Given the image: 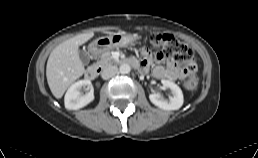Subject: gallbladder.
Returning <instances> with one entry per match:
<instances>
[{
    "label": "gallbladder",
    "instance_id": "1",
    "mask_svg": "<svg viewBox=\"0 0 258 158\" xmlns=\"http://www.w3.org/2000/svg\"><path fill=\"white\" fill-rule=\"evenodd\" d=\"M79 58H80L81 62L83 63V65H88L90 62V56L84 50L79 51Z\"/></svg>",
    "mask_w": 258,
    "mask_h": 158
}]
</instances>
